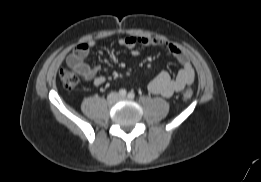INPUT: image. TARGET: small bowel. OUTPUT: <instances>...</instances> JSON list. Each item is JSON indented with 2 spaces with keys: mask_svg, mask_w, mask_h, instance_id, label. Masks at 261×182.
I'll return each instance as SVG.
<instances>
[{
  "mask_svg": "<svg viewBox=\"0 0 261 182\" xmlns=\"http://www.w3.org/2000/svg\"><path fill=\"white\" fill-rule=\"evenodd\" d=\"M118 44L128 48L133 56L139 55L138 47L165 48L180 63L182 67L175 77H171L168 72L162 71L147 84V89L152 94L170 97L194 81L195 72L188 55L173 43L158 39L129 36L119 39ZM95 45L96 41L94 40L81 42L68 55L66 62L85 81L92 83L94 86H100L106 82L105 76L100 74L98 66H92L86 62L91 49ZM99 54H103V50H99Z\"/></svg>",
  "mask_w": 261,
  "mask_h": 182,
  "instance_id": "1",
  "label": "small bowel"
}]
</instances>
